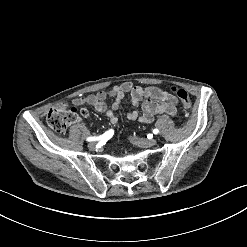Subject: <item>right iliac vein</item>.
<instances>
[{"instance_id":"obj_1","label":"right iliac vein","mask_w":247,"mask_h":247,"mask_svg":"<svg viewBox=\"0 0 247 247\" xmlns=\"http://www.w3.org/2000/svg\"><path fill=\"white\" fill-rule=\"evenodd\" d=\"M88 147H89L90 150H95L96 149V143L95 142H91V143H89Z\"/></svg>"}]
</instances>
